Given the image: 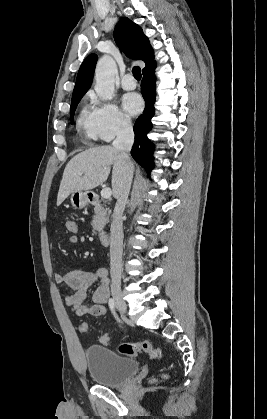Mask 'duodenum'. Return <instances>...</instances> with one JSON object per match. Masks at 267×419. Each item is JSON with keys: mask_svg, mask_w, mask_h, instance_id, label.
Segmentation results:
<instances>
[{"mask_svg": "<svg viewBox=\"0 0 267 419\" xmlns=\"http://www.w3.org/2000/svg\"><path fill=\"white\" fill-rule=\"evenodd\" d=\"M88 201L90 204L92 205H99L100 204V199L97 195H89L88 197ZM99 240L101 241L102 244L106 245L109 242V232L106 228H102L99 231L98 234Z\"/></svg>", "mask_w": 267, "mask_h": 419, "instance_id": "duodenum-1", "label": "duodenum"}]
</instances>
